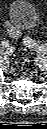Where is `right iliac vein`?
<instances>
[{
    "mask_svg": "<svg viewBox=\"0 0 47 129\" xmlns=\"http://www.w3.org/2000/svg\"><path fill=\"white\" fill-rule=\"evenodd\" d=\"M8 47L9 46H6V45L3 46V45H1V47H0L1 52L6 51L8 49Z\"/></svg>",
    "mask_w": 47,
    "mask_h": 129,
    "instance_id": "obj_1",
    "label": "right iliac vein"
}]
</instances>
